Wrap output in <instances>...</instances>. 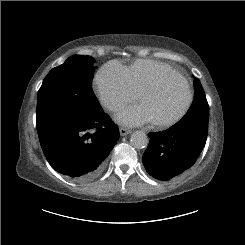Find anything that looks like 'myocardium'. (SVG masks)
<instances>
[{
  "label": "myocardium",
  "instance_id": "1",
  "mask_svg": "<svg viewBox=\"0 0 245 245\" xmlns=\"http://www.w3.org/2000/svg\"><path fill=\"white\" fill-rule=\"evenodd\" d=\"M172 75L177 76L184 81V83L187 87V90H188V100H187V103L184 106V108L178 114L173 116L172 118H169V119L163 120V121H152V124L159 129H166V128H169V127L177 124L189 112V110L193 104V101H194V90L192 88L190 80L180 71H178L176 69H171V70H168L166 72L161 73L155 79V81L153 83H151L149 86L144 88L139 93V97H138V99L141 100L144 96L158 91L160 88V84H161L162 80L164 78L172 76Z\"/></svg>",
  "mask_w": 245,
  "mask_h": 245
}]
</instances>
